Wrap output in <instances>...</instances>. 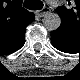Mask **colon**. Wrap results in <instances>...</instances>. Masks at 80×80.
Wrapping results in <instances>:
<instances>
[{"instance_id": "1", "label": "colon", "mask_w": 80, "mask_h": 80, "mask_svg": "<svg viewBox=\"0 0 80 80\" xmlns=\"http://www.w3.org/2000/svg\"><path fill=\"white\" fill-rule=\"evenodd\" d=\"M35 4L39 5V2H35Z\"/></svg>"}]
</instances>
